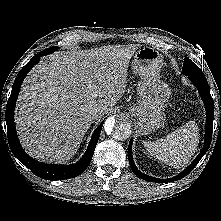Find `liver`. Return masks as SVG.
Segmentation results:
<instances>
[{
    "mask_svg": "<svg viewBox=\"0 0 221 221\" xmlns=\"http://www.w3.org/2000/svg\"><path fill=\"white\" fill-rule=\"evenodd\" d=\"M140 45H108L44 58L28 74L16 104L22 146L41 161L73 157L90 128L125 93L129 61ZM98 119V120H99Z\"/></svg>",
    "mask_w": 221,
    "mask_h": 221,
    "instance_id": "obj_1",
    "label": "liver"
}]
</instances>
